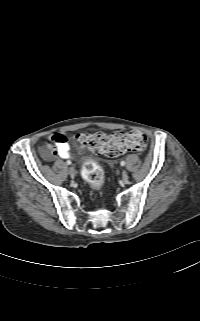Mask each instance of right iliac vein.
<instances>
[{"label":"right iliac vein","mask_w":200,"mask_h":321,"mask_svg":"<svg viewBox=\"0 0 200 321\" xmlns=\"http://www.w3.org/2000/svg\"><path fill=\"white\" fill-rule=\"evenodd\" d=\"M69 174H70L71 177L75 176V169L73 167L69 168Z\"/></svg>","instance_id":"1"}]
</instances>
